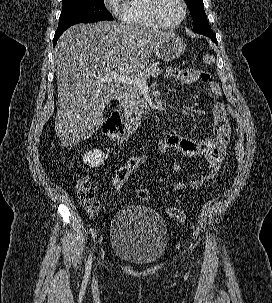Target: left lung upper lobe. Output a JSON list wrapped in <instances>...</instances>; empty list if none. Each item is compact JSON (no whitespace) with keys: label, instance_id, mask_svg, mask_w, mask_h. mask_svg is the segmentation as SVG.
Here are the masks:
<instances>
[{"label":"left lung upper lobe","instance_id":"left-lung-upper-lobe-1","mask_svg":"<svg viewBox=\"0 0 272 303\" xmlns=\"http://www.w3.org/2000/svg\"><path fill=\"white\" fill-rule=\"evenodd\" d=\"M192 19L194 21L195 27L193 32L199 34H212L213 31L211 30L207 17L204 11V4L202 0H185Z\"/></svg>","mask_w":272,"mask_h":303}]
</instances>
